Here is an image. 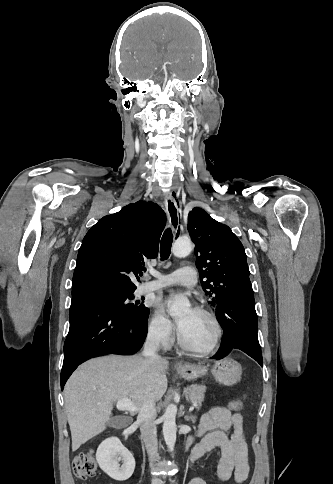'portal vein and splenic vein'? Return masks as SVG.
I'll return each instance as SVG.
<instances>
[{
  "instance_id": "obj_1",
  "label": "portal vein and splenic vein",
  "mask_w": 333,
  "mask_h": 484,
  "mask_svg": "<svg viewBox=\"0 0 333 484\" xmlns=\"http://www.w3.org/2000/svg\"><path fill=\"white\" fill-rule=\"evenodd\" d=\"M116 406H117V409H119L121 411H129L131 413H134L136 411V406L128 398H123V399L118 400L117 403H116ZM194 406L192 407V409H194Z\"/></svg>"
}]
</instances>
